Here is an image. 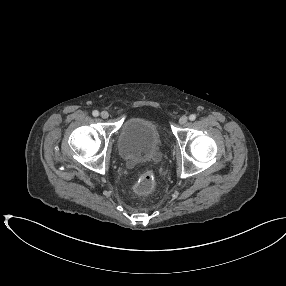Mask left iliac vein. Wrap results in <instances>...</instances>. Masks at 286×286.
<instances>
[{
	"label": "left iliac vein",
	"mask_w": 286,
	"mask_h": 286,
	"mask_svg": "<svg viewBox=\"0 0 286 286\" xmlns=\"http://www.w3.org/2000/svg\"><path fill=\"white\" fill-rule=\"evenodd\" d=\"M187 121H188V117L187 116H182L180 119H179V123L181 124V125H184V124H186L187 123Z\"/></svg>",
	"instance_id": "left-iliac-vein-1"
}]
</instances>
